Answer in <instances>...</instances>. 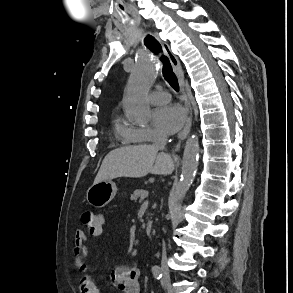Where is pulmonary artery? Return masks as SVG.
Here are the masks:
<instances>
[{
  "label": "pulmonary artery",
  "instance_id": "pulmonary-artery-1",
  "mask_svg": "<svg viewBox=\"0 0 293 293\" xmlns=\"http://www.w3.org/2000/svg\"><path fill=\"white\" fill-rule=\"evenodd\" d=\"M148 98L153 104H165L170 100L171 96L167 91L159 89L150 93Z\"/></svg>",
  "mask_w": 293,
  "mask_h": 293
}]
</instances>
